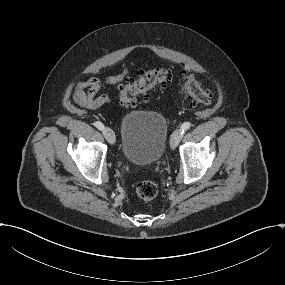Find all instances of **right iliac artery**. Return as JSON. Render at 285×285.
I'll list each match as a JSON object with an SVG mask.
<instances>
[{
	"label": "right iliac artery",
	"mask_w": 285,
	"mask_h": 285,
	"mask_svg": "<svg viewBox=\"0 0 285 285\" xmlns=\"http://www.w3.org/2000/svg\"><path fill=\"white\" fill-rule=\"evenodd\" d=\"M94 125L96 126V128H98L99 130H104V125L101 122H95Z\"/></svg>",
	"instance_id": "82829eb1"
}]
</instances>
